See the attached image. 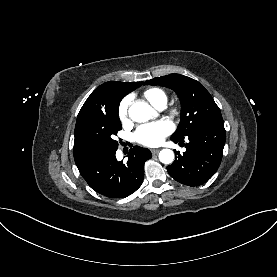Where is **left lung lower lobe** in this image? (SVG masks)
I'll return each mask as SVG.
<instances>
[{"instance_id": "obj_1", "label": "left lung lower lobe", "mask_w": 277, "mask_h": 277, "mask_svg": "<svg viewBox=\"0 0 277 277\" xmlns=\"http://www.w3.org/2000/svg\"><path fill=\"white\" fill-rule=\"evenodd\" d=\"M186 151L177 155L173 164L167 167L170 176L176 181L199 186L208 181L217 171L225 145L223 119H217L199 126L187 136ZM173 140V139H171ZM175 143L184 142L173 140Z\"/></svg>"}]
</instances>
